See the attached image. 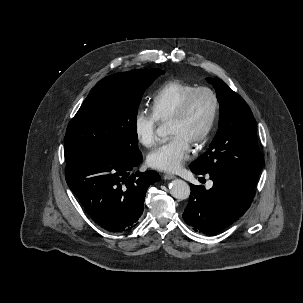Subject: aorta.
<instances>
[{
	"label": "aorta",
	"mask_w": 303,
	"mask_h": 303,
	"mask_svg": "<svg viewBox=\"0 0 303 303\" xmlns=\"http://www.w3.org/2000/svg\"><path fill=\"white\" fill-rule=\"evenodd\" d=\"M156 134L159 137H164L167 135V129L164 125H161L157 128ZM170 194L178 199V200H185L190 195V187L189 185L181 180V179H175L173 180L169 185Z\"/></svg>",
	"instance_id": "obj_1"
}]
</instances>
